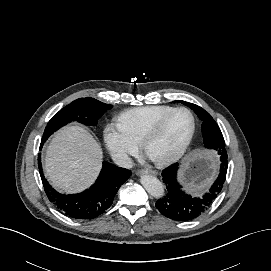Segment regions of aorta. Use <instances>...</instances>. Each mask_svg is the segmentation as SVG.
<instances>
[{
  "label": "aorta",
  "instance_id": "aorta-1",
  "mask_svg": "<svg viewBox=\"0 0 271 271\" xmlns=\"http://www.w3.org/2000/svg\"><path fill=\"white\" fill-rule=\"evenodd\" d=\"M140 182L151 196L155 198L163 197L164 186L158 178L152 175H143L141 176Z\"/></svg>",
  "mask_w": 271,
  "mask_h": 271
}]
</instances>
